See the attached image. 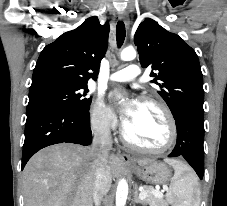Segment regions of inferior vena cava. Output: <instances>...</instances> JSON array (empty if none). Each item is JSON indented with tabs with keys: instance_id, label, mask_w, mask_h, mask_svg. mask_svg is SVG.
<instances>
[{
	"instance_id": "1",
	"label": "inferior vena cava",
	"mask_w": 227,
	"mask_h": 206,
	"mask_svg": "<svg viewBox=\"0 0 227 206\" xmlns=\"http://www.w3.org/2000/svg\"><path fill=\"white\" fill-rule=\"evenodd\" d=\"M112 149V139L108 123L102 125L94 133L91 152L94 155V188L93 200L95 206H100L101 199L111 187L112 178L108 169L109 152Z\"/></svg>"
}]
</instances>
